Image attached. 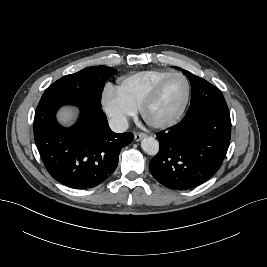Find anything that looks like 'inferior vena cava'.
Segmentation results:
<instances>
[{
  "label": "inferior vena cava",
  "instance_id": "602c4592",
  "mask_svg": "<svg viewBox=\"0 0 267 267\" xmlns=\"http://www.w3.org/2000/svg\"><path fill=\"white\" fill-rule=\"evenodd\" d=\"M109 126L116 133H123L128 129V122L125 117H113L109 120Z\"/></svg>",
  "mask_w": 267,
  "mask_h": 267
}]
</instances>
